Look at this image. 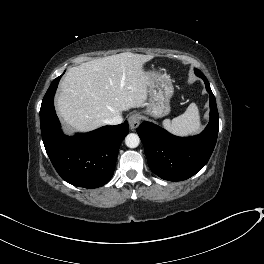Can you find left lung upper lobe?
I'll use <instances>...</instances> for the list:
<instances>
[{
    "label": "left lung upper lobe",
    "mask_w": 264,
    "mask_h": 264,
    "mask_svg": "<svg viewBox=\"0 0 264 264\" xmlns=\"http://www.w3.org/2000/svg\"><path fill=\"white\" fill-rule=\"evenodd\" d=\"M200 73H202L200 70L195 69V74H200Z\"/></svg>",
    "instance_id": "obj_1"
}]
</instances>
